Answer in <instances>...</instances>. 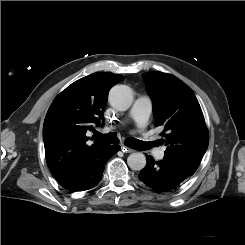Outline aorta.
I'll list each match as a JSON object with an SVG mask.
<instances>
[{
  "instance_id": "obj_1",
  "label": "aorta",
  "mask_w": 245,
  "mask_h": 245,
  "mask_svg": "<svg viewBox=\"0 0 245 245\" xmlns=\"http://www.w3.org/2000/svg\"><path fill=\"white\" fill-rule=\"evenodd\" d=\"M108 100L114 109L127 111L133 103V92L126 85H116L110 90ZM127 164L132 170H142L146 166V157L142 153H132Z\"/></svg>"
}]
</instances>
